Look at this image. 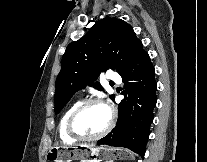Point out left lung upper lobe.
Instances as JSON below:
<instances>
[{"label": "left lung upper lobe", "mask_w": 207, "mask_h": 162, "mask_svg": "<svg viewBox=\"0 0 207 162\" xmlns=\"http://www.w3.org/2000/svg\"><path fill=\"white\" fill-rule=\"evenodd\" d=\"M143 52L142 42L128 23L117 18L96 21L84 37L66 48L56 80L55 113L75 92L94 81L101 70L116 68L121 75ZM95 87L102 90L97 83Z\"/></svg>", "instance_id": "5c2ea615"}]
</instances>
